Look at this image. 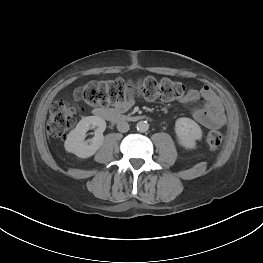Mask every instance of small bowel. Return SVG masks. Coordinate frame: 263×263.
<instances>
[{"label":"small bowel","mask_w":263,"mask_h":263,"mask_svg":"<svg viewBox=\"0 0 263 263\" xmlns=\"http://www.w3.org/2000/svg\"><path fill=\"white\" fill-rule=\"evenodd\" d=\"M203 100V106L194 108L192 111L193 118L207 128H219L226 122V117L222 103L215 92L208 86H204L200 90L190 89L186 96L182 98V102L193 104ZM133 105L131 98L117 105L119 112L127 111Z\"/></svg>","instance_id":"c3829d8e"}]
</instances>
